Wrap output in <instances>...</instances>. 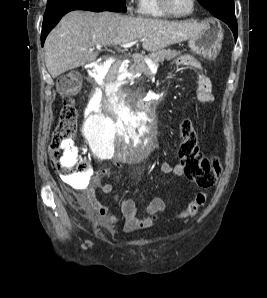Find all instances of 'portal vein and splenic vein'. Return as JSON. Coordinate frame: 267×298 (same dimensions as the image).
<instances>
[{
  "label": "portal vein and splenic vein",
  "mask_w": 267,
  "mask_h": 298,
  "mask_svg": "<svg viewBox=\"0 0 267 298\" xmlns=\"http://www.w3.org/2000/svg\"><path fill=\"white\" fill-rule=\"evenodd\" d=\"M140 41H143V40H140ZM136 43H137L136 40H135V41H131V42H129V43L122 44L121 47H123V48H129V47L135 45ZM101 48H102L101 45H97V46H96V49H98V50H100ZM144 61H145V63L147 64V66L149 67V69H152V70H153V69H157L158 66H159L158 63H155L154 61H152V60L149 59V58H145Z\"/></svg>",
  "instance_id": "portal-vein-and-splenic-vein-1"
}]
</instances>
